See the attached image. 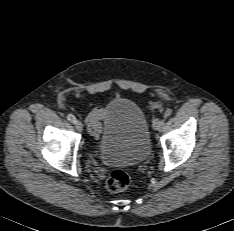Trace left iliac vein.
<instances>
[{"instance_id": "left-iliac-vein-1", "label": "left iliac vein", "mask_w": 234, "mask_h": 231, "mask_svg": "<svg viewBox=\"0 0 234 231\" xmlns=\"http://www.w3.org/2000/svg\"><path fill=\"white\" fill-rule=\"evenodd\" d=\"M159 119H155L154 121H153V129H155V130H159Z\"/></svg>"}]
</instances>
